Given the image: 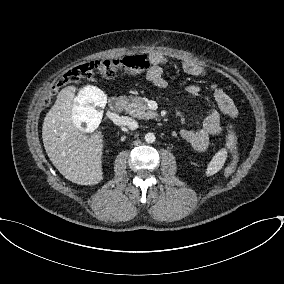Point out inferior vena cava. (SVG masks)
Segmentation results:
<instances>
[{
	"mask_svg": "<svg viewBox=\"0 0 284 284\" xmlns=\"http://www.w3.org/2000/svg\"><path fill=\"white\" fill-rule=\"evenodd\" d=\"M121 124L129 128L130 130H135L138 128V123L135 119L130 117H122Z\"/></svg>",
	"mask_w": 284,
	"mask_h": 284,
	"instance_id": "inferior-vena-cava-1",
	"label": "inferior vena cava"
}]
</instances>
